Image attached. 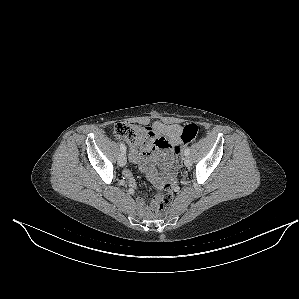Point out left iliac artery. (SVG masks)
Segmentation results:
<instances>
[{
	"mask_svg": "<svg viewBox=\"0 0 299 299\" xmlns=\"http://www.w3.org/2000/svg\"><path fill=\"white\" fill-rule=\"evenodd\" d=\"M185 156H188L189 154H190V149H189V147H187L186 149H185Z\"/></svg>",
	"mask_w": 299,
	"mask_h": 299,
	"instance_id": "left-iliac-artery-1",
	"label": "left iliac artery"
}]
</instances>
